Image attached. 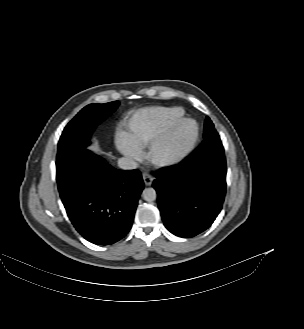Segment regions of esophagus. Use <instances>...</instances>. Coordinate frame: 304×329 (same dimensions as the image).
I'll return each instance as SVG.
<instances>
[{
  "instance_id": "obj_1",
  "label": "esophagus",
  "mask_w": 304,
  "mask_h": 329,
  "mask_svg": "<svg viewBox=\"0 0 304 329\" xmlns=\"http://www.w3.org/2000/svg\"><path fill=\"white\" fill-rule=\"evenodd\" d=\"M153 180H154L153 176H151L149 174H146V173L143 174V181H144L146 186H151Z\"/></svg>"
}]
</instances>
